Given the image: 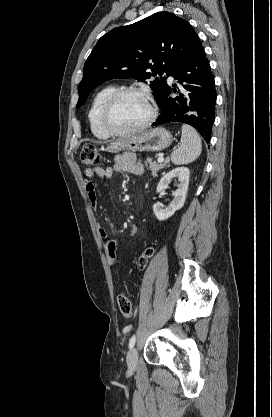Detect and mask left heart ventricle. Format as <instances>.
Returning a JSON list of instances; mask_svg holds the SVG:
<instances>
[{
	"mask_svg": "<svg viewBox=\"0 0 272 417\" xmlns=\"http://www.w3.org/2000/svg\"><path fill=\"white\" fill-rule=\"evenodd\" d=\"M150 114L145 99L137 94H127L114 105L110 125L119 131H127L141 125Z\"/></svg>",
	"mask_w": 272,
	"mask_h": 417,
	"instance_id": "1",
	"label": "left heart ventricle"
}]
</instances>
